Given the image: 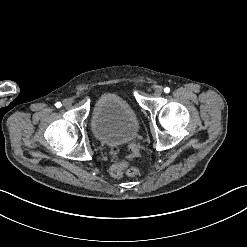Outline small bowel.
I'll return each instance as SVG.
<instances>
[{"label": "small bowel", "instance_id": "obj_1", "mask_svg": "<svg viewBox=\"0 0 247 247\" xmlns=\"http://www.w3.org/2000/svg\"><path fill=\"white\" fill-rule=\"evenodd\" d=\"M120 154V149L119 148H113L110 150V155L111 156H116ZM111 164L112 165H117L118 164V159L117 158H112L111 159Z\"/></svg>", "mask_w": 247, "mask_h": 247}]
</instances>
